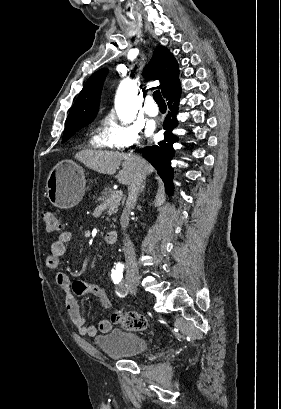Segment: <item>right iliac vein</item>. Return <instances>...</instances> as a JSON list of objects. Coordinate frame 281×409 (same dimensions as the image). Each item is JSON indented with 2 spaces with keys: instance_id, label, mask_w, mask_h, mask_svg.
Returning a JSON list of instances; mask_svg holds the SVG:
<instances>
[{
  "instance_id": "63e3f726",
  "label": "right iliac vein",
  "mask_w": 281,
  "mask_h": 409,
  "mask_svg": "<svg viewBox=\"0 0 281 409\" xmlns=\"http://www.w3.org/2000/svg\"><path fill=\"white\" fill-rule=\"evenodd\" d=\"M130 286H131L132 288L136 289V286H137V285H136V284H131Z\"/></svg>"
}]
</instances>
